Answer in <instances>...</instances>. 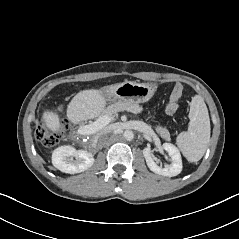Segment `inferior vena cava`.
I'll list each match as a JSON object with an SVG mask.
<instances>
[{
  "label": "inferior vena cava",
  "instance_id": "602c4592",
  "mask_svg": "<svg viewBox=\"0 0 239 239\" xmlns=\"http://www.w3.org/2000/svg\"><path fill=\"white\" fill-rule=\"evenodd\" d=\"M111 132V129L108 127V128H104L103 130H101L100 132H98L96 135H95V138H94V142H97L98 140H103L105 138V136Z\"/></svg>",
  "mask_w": 239,
  "mask_h": 239
}]
</instances>
